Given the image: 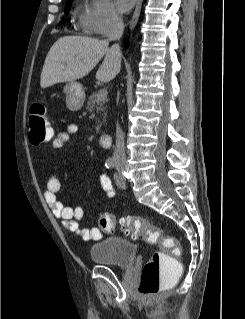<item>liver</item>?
I'll use <instances>...</instances> for the list:
<instances>
[{"mask_svg": "<svg viewBox=\"0 0 245 319\" xmlns=\"http://www.w3.org/2000/svg\"><path fill=\"white\" fill-rule=\"evenodd\" d=\"M103 57L96 79L109 82L120 72L121 57L109 48L108 40L82 36L61 37L46 56L40 86L47 88L57 83L83 78Z\"/></svg>", "mask_w": 245, "mask_h": 319, "instance_id": "6515ba94", "label": "liver"}]
</instances>
